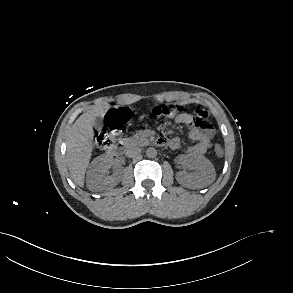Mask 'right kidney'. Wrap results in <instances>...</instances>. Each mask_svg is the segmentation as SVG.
Returning <instances> with one entry per match:
<instances>
[{
	"label": "right kidney",
	"instance_id": "1",
	"mask_svg": "<svg viewBox=\"0 0 293 293\" xmlns=\"http://www.w3.org/2000/svg\"><path fill=\"white\" fill-rule=\"evenodd\" d=\"M112 160L106 155L96 157L90 164L87 172V186L90 190H98L101 186H115L121 179V173L116 170L113 175H108V168Z\"/></svg>",
	"mask_w": 293,
	"mask_h": 293
}]
</instances>
